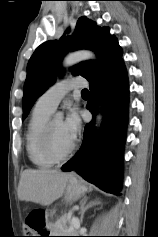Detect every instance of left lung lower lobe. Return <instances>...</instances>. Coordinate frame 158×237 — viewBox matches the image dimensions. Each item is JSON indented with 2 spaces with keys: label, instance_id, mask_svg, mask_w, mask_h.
Returning <instances> with one entry per match:
<instances>
[{
  "label": "left lung lower lobe",
  "instance_id": "1",
  "mask_svg": "<svg viewBox=\"0 0 158 237\" xmlns=\"http://www.w3.org/2000/svg\"><path fill=\"white\" fill-rule=\"evenodd\" d=\"M100 79L90 82L87 108L95 115ZM103 124L95 132L94 121L84 128L83 143L75 157L63 165V171L75 170L88 182L106 192L118 194L122 183L123 147L128 115V79L122 60L103 77Z\"/></svg>",
  "mask_w": 158,
  "mask_h": 237
}]
</instances>
